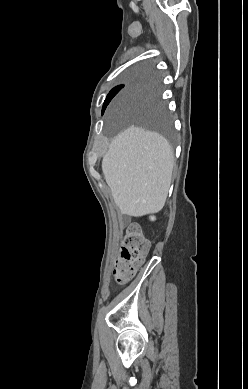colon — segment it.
<instances>
[{
    "label": "colon",
    "mask_w": 248,
    "mask_h": 389,
    "mask_svg": "<svg viewBox=\"0 0 248 389\" xmlns=\"http://www.w3.org/2000/svg\"><path fill=\"white\" fill-rule=\"evenodd\" d=\"M149 250V242L137 224H131L125 234L120 256L115 263L114 276L118 284L129 280L141 266Z\"/></svg>",
    "instance_id": "1"
}]
</instances>
